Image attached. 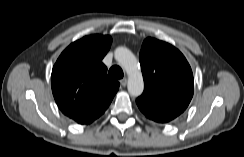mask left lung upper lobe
Masks as SVG:
<instances>
[{
  "mask_svg": "<svg viewBox=\"0 0 244 157\" xmlns=\"http://www.w3.org/2000/svg\"><path fill=\"white\" fill-rule=\"evenodd\" d=\"M144 92L136 99L141 112L149 119L167 123L189 105L194 92L190 65L174 46L147 38L140 51Z\"/></svg>",
  "mask_w": 244,
  "mask_h": 157,
  "instance_id": "5c2ea615",
  "label": "left lung upper lobe"
}]
</instances>
